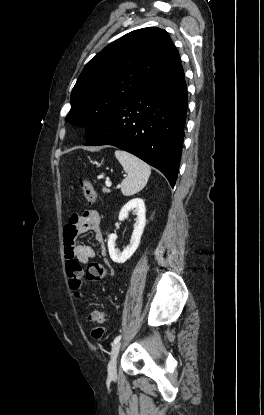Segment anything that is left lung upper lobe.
<instances>
[{
  "label": "left lung upper lobe",
  "instance_id": "5c2ea615",
  "mask_svg": "<svg viewBox=\"0 0 264 415\" xmlns=\"http://www.w3.org/2000/svg\"><path fill=\"white\" fill-rule=\"evenodd\" d=\"M181 63L168 33L157 27L132 31L114 41L84 67L71 92L66 120L95 127L88 140L130 97Z\"/></svg>",
  "mask_w": 264,
  "mask_h": 415
}]
</instances>
